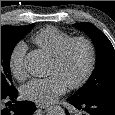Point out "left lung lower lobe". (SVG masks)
I'll return each mask as SVG.
<instances>
[{"mask_svg": "<svg viewBox=\"0 0 115 115\" xmlns=\"http://www.w3.org/2000/svg\"><path fill=\"white\" fill-rule=\"evenodd\" d=\"M70 104L86 113L83 115H115L114 98H98L84 102H78L71 97L68 98ZM67 115H70L66 111Z\"/></svg>", "mask_w": 115, "mask_h": 115, "instance_id": "1", "label": "left lung lower lobe"}]
</instances>
